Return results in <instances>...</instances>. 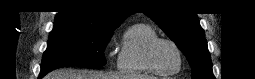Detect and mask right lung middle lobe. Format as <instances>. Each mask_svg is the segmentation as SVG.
I'll use <instances>...</instances> for the list:
<instances>
[{
  "label": "right lung middle lobe",
  "mask_w": 255,
  "mask_h": 79,
  "mask_svg": "<svg viewBox=\"0 0 255 79\" xmlns=\"http://www.w3.org/2000/svg\"><path fill=\"white\" fill-rule=\"evenodd\" d=\"M113 30L54 26L44 52L40 77L64 66L98 68L106 64L103 51Z\"/></svg>",
  "instance_id": "right-lung-middle-lobe-1"
}]
</instances>
